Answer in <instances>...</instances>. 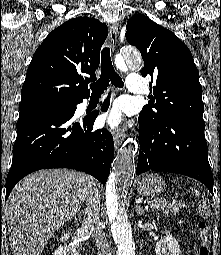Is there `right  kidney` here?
<instances>
[{
    "instance_id": "obj_1",
    "label": "right kidney",
    "mask_w": 221,
    "mask_h": 255,
    "mask_svg": "<svg viewBox=\"0 0 221 255\" xmlns=\"http://www.w3.org/2000/svg\"><path fill=\"white\" fill-rule=\"evenodd\" d=\"M69 237H70V233L66 232L61 236L60 241L66 242L69 239ZM53 255H79V254L74 247L60 245L55 250Z\"/></svg>"
}]
</instances>
